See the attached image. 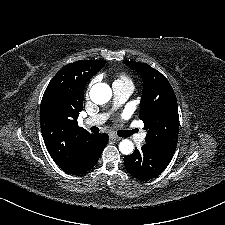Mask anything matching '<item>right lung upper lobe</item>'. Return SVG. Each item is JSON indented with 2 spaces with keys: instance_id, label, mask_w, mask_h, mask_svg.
<instances>
[{
  "instance_id": "obj_1",
  "label": "right lung upper lobe",
  "mask_w": 225,
  "mask_h": 225,
  "mask_svg": "<svg viewBox=\"0 0 225 225\" xmlns=\"http://www.w3.org/2000/svg\"><path fill=\"white\" fill-rule=\"evenodd\" d=\"M105 60H79L67 64L52 78L40 106L41 132L54 162L65 172L80 167L83 148L91 139L77 118L83 109L87 81L100 71Z\"/></svg>"
}]
</instances>
